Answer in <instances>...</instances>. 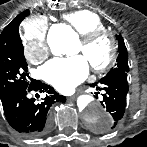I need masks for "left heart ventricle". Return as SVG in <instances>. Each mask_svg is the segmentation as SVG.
I'll return each mask as SVG.
<instances>
[{"label":"left heart ventricle","instance_id":"left-heart-ventricle-1","mask_svg":"<svg viewBox=\"0 0 147 147\" xmlns=\"http://www.w3.org/2000/svg\"><path fill=\"white\" fill-rule=\"evenodd\" d=\"M79 52L83 53L84 57L89 62H103L108 54V42L106 39L99 40L89 52H85L82 48L81 43H78L76 53Z\"/></svg>","mask_w":147,"mask_h":147}]
</instances>
